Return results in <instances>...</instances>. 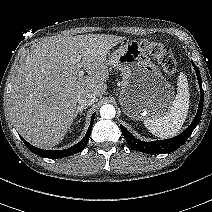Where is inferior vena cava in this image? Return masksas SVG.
<instances>
[{
	"instance_id": "602c4592",
	"label": "inferior vena cava",
	"mask_w": 212,
	"mask_h": 212,
	"mask_svg": "<svg viewBox=\"0 0 212 212\" xmlns=\"http://www.w3.org/2000/svg\"><path fill=\"white\" fill-rule=\"evenodd\" d=\"M96 100V96L92 93H79L77 97L78 104L81 106L92 105Z\"/></svg>"
}]
</instances>
